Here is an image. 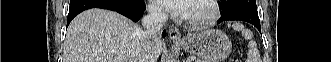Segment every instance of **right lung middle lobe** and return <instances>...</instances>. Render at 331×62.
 Returning <instances> with one entry per match:
<instances>
[{
	"instance_id": "dd1d6c3e",
	"label": "right lung middle lobe",
	"mask_w": 331,
	"mask_h": 62,
	"mask_svg": "<svg viewBox=\"0 0 331 62\" xmlns=\"http://www.w3.org/2000/svg\"><path fill=\"white\" fill-rule=\"evenodd\" d=\"M77 0H71L70 3L75 2ZM121 3L127 4V5H132V4H137L139 3L140 0H117Z\"/></svg>"
}]
</instances>
